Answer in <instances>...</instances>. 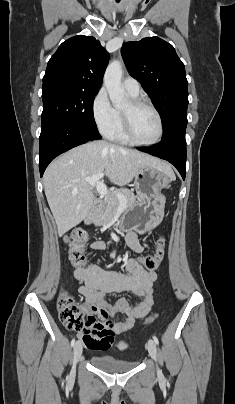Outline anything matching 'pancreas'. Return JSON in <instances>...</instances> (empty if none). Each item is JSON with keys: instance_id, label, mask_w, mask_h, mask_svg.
I'll use <instances>...</instances> for the list:
<instances>
[{"instance_id": "cf45deb5", "label": "pancreas", "mask_w": 235, "mask_h": 404, "mask_svg": "<svg viewBox=\"0 0 235 404\" xmlns=\"http://www.w3.org/2000/svg\"><path fill=\"white\" fill-rule=\"evenodd\" d=\"M117 192L123 196V201L118 198ZM117 192L105 200L104 207L97 209L93 217V221L96 225L106 226L111 224L121 206L126 209L136 202V197L130 190L121 189Z\"/></svg>"}]
</instances>
